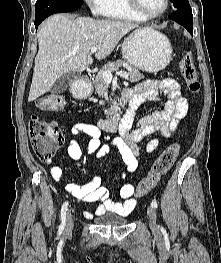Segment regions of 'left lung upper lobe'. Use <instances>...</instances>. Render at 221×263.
I'll list each match as a JSON object with an SVG mask.
<instances>
[{"instance_id": "left-lung-upper-lobe-1", "label": "left lung upper lobe", "mask_w": 221, "mask_h": 263, "mask_svg": "<svg viewBox=\"0 0 221 263\" xmlns=\"http://www.w3.org/2000/svg\"><path fill=\"white\" fill-rule=\"evenodd\" d=\"M175 8H183L190 6L188 0H170Z\"/></svg>"}]
</instances>
